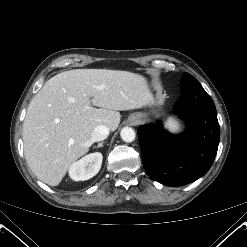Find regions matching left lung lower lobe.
I'll return each instance as SVG.
<instances>
[{
  "mask_svg": "<svg viewBox=\"0 0 247 247\" xmlns=\"http://www.w3.org/2000/svg\"><path fill=\"white\" fill-rule=\"evenodd\" d=\"M181 89L182 97L174 111L188 124L183 134L171 135L161 124L138 129L144 169L152 179L167 186L185 185L206 174L220 139L211 97L194 77L181 81Z\"/></svg>",
  "mask_w": 247,
  "mask_h": 247,
  "instance_id": "obj_1",
  "label": "left lung lower lobe"
}]
</instances>
